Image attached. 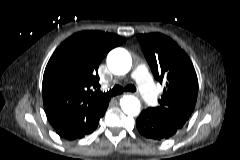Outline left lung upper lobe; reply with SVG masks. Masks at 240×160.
<instances>
[{"label": "left lung upper lobe", "mask_w": 240, "mask_h": 160, "mask_svg": "<svg viewBox=\"0 0 240 160\" xmlns=\"http://www.w3.org/2000/svg\"><path fill=\"white\" fill-rule=\"evenodd\" d=\"M143 53L164 91L155 112L181 129L192 114L198 95V79L188 55L169 37L160 33L138 36Z\"/></svg>", "instance_id": "left-lung-upper-lobe-1"}]
</instances>
